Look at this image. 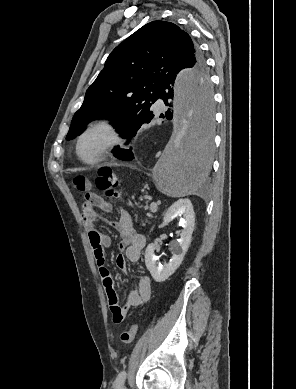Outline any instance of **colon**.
I'll list each match as a JSON object with an SVG mask.
<instances>
[{"label":"colon","mask_w":296,"mask_h":389,"mask_svg":"<svg viewBox=\"0 0 296 389\" xmlns=\"http://www.w3.org/2000/svg\"><path fill=\"white\" fill-rule=\"evenodd\" d=\"M74 188L84 194L89 193L90 182L82 175H78L73 179ZM96 186L99 190L103 191L106 196L119 197L120 193L117 191L118 179L114 171L109 167L100 168L97 174ZM122 321V314L117 311L113 316L114 323H120ZM138 327L133 324L128 330L124 331L120 335V340L124 344H130L137 334Z\"/></svg>","instance_id":"colon-1"}]
</instances>
